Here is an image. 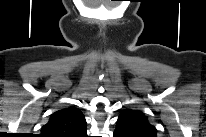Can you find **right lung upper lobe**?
<instances>
[{
  "label": "right lung upper lobe",
  "instance_id": "1",
  "mask_svg": "<svg viewBox=\"0 0 206 137\" xmlns=\"http://www.w3.org/2000/svg\"><path fill=\"white\" fill-rule=\"evenodd\" d=\"M86 120L76 107L56 111L41 129L43 137H85Z\"/></svg>",
  "mask_w": 206,
  "mask_h": 137
}]
</instances>
